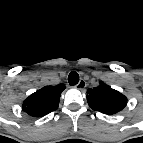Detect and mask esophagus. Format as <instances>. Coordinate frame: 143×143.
<instances>
[{
  "label": "esophagus",
  "instance_id": "1",
  "mask_svg": "<svg viewBox=\"0 0 143 143\" xmlns=\"http://www.w3.org/2000/svg\"><path fill=\"white\" fill-rule=\"evenodd\" d=\"M86 87V81L84 79H81L79 83L76 85V88L82 90Z\"/></svg>",
  "mask_w": 143,
  "mask_h": 143
}]
</instances>
